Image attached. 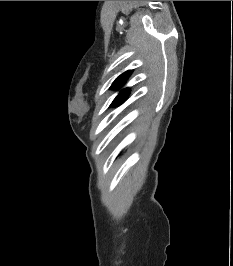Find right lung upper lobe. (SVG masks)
Here are the masks:
<instances>
[{
	"mask_svg": "<svg viewBox=\"0 0 233 266\" xmlns=\"http://www.w3.org/2000/svg\"><path fill=\"white\" fill-rule=\"evenodd\" d=\"M132 71L129 70V71H126L124 72L123 74H121L112 84L111 88L112 89H118L120 88L124 83L125 81L127 80V78L131 75ZM129 91L128 88L126 89H123L119 95H124V94H127V92Z\"/></svg>",
	"mask_w": 233,
	"mask_h": 266,
	"instance_id": "cb5924a9",
	"label": "right lung upper lobe"
}]
</instances>
